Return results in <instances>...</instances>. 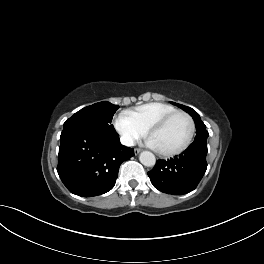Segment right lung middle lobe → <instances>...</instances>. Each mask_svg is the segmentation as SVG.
Returning <instances> with one entry per match:
<instances>
[{
  "mask_svg": "<svg viewBox=\"0 0 264 264\" xmlns=\"http://www.w3.org/2000/svg\"><path fill=\"white\" fill-rule=\"evenodd\" d=\"M119 108L109 102L103 101L87 106L76 112L64 123L66 127H84L104 131H115L111 121L114 113Z\"/></svg>",
  "mask_w": 264,
  "mask_h": 264,
  "instance_id": "right-lung-middle-lobe-1",
  "label": "right lung middle lobe"
}]
</instances>
